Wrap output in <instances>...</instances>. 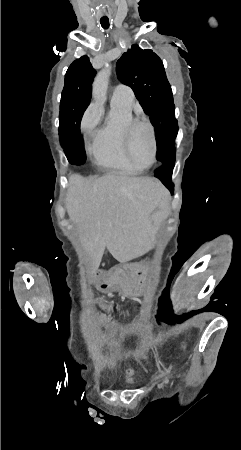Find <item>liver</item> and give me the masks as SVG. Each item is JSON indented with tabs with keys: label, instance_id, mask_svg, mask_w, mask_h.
Returning a JSON list of instances; mask_svg holds the SVG:
<instances>
[{
	"label": "liver",
	"instance_id": "liver-1",
	"mask_svg": "<svg viewBox=\"0 0 241 450\" xmlns=\"http://www.w3.org/2000/svg\"><path fill=\"white\" fill-rule=\"evenodd\" d=\"M168 192L156 178H131L108 172L102 178L69 176L67 214L79 230L87 268L97 272L105 248L115 256L126 224L151 226L153 212L161 208Z\"/></svg>",
	"mask_w": 241,
	"mask_h": 450
}]
</instances>
